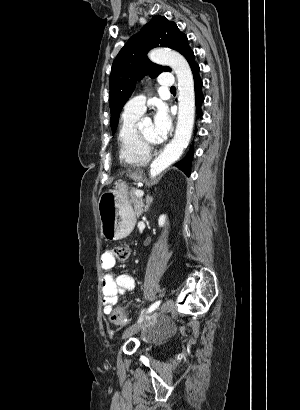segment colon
Instances as JSON below:
<instances>
[{"mask_svg":"<svg viewBox=\"0 0 300 410\" xmlns=\"http://www.w3.org/2000/svg\"><path fill=\"white\" fill-rule=\"evenodd\" d=\"M112 254L116 260L125 261L129 257V248L126 245H117L113 247ZM109 318L112 323L117 325H124L127 322V316L120 308L112 309L109 312Z\"/></svg>","mask_w":300,"mask_h":410,"instance_id":"5ec220e1","label":"colon"}]
</instances>
